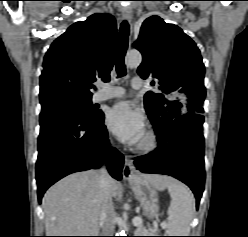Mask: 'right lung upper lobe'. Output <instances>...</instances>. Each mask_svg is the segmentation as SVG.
I'll return each instance as SVG.
<instances>
[{"instance_id":"right-lung-upper-lobe-1","label":"right lung upper lobe","mask_w":248,"mask_h":237,"mask_svg":"<svg viewBox=\"0 0 248 237\" xmlns=\"http://www.w3.org/2000/svg\"><path fill=\"white\" fill-rule=\"evenodd\" d=\"M117 40L112 15L93 14L71 25L50 46L40 76V103L91 99L93 82L110 80Z\"/></svg>"}]
</instances>
